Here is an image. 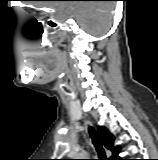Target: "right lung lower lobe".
<instances>
[{"label":"right lung lower lobe","mask_w":158,"mask_h":160,"mask_svg":"<svg viewBox=\"0 0 158 160\" xmlns=\"http://www.w3.org/2000/svg\"><path fill=\"white\" fill-rule=\"evenodd\" d=\"M115 160H123V159H121V158L117 157V158H115Z\"/></svg>","instance_id":"obj_1"}]
</instances>
